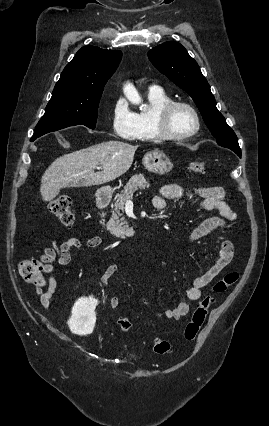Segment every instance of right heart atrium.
I'll return each instance as SVG.
<instances>
[{"label": "right heart atrium", "mask_w": 269, "mask_h": 426, "mask_svg": "<svg viewBox=\"0 0 269 426\" xmlns=\"http://www.w3.org/2000/svg\"><path fill=\"white\" fill-rule=\"evenodd\" d=\"M111 129L114 135L125 140H133L137 137L136 113H134L127 101L117 97L111 106Z\"/></svg>", "instance_id": "right-heart-atrium-1"}]
</instances>
